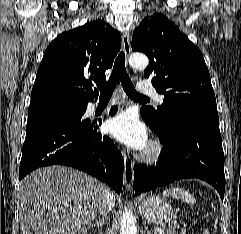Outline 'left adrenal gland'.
Wrapping results in <instances>:
<instances>
[{"label": "left adrenal gland", "mask_w": 241, "mask_h": 234, "mask_svg": "<svg viewBox=\"0 0 241 234\" xmlns=\"http://www.w3.org/2000/svg\"><path fill=\"white\" fill-rule=\"evenodd\" d=\"M147 234H151V232L149 230H147Z\"/></svg>", "instance_id": "left-adrenal-gland-1"}]
</instances>
